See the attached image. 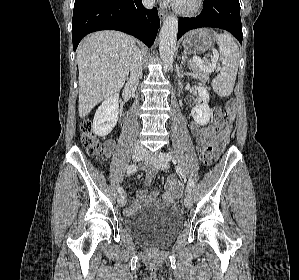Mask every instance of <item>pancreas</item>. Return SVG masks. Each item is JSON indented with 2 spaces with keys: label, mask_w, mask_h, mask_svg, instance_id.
Instances as JSON below:
<instances>
[{
  "label": "pancreas",
  "mask_w": 299,
  "mask_h": 280,
  "mask_svg": "<svg viewBox=\"0 0 299 280\" xmlns=\"http://www.w3.org/2000/svg\"><path fill=\"white\" fill-rule=\"evenodd\" d=\"M191 69L195 73V76L201 83H208L209 82V75L208 72L203 71L202 69L199 68L198 65L195 63H191Z\"/></svg>",
  "instance_id": "cf45deb5"
}]
</instances>
